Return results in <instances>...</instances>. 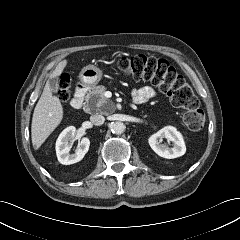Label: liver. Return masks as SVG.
<instances>
[{"instance_id":"obj_1","label":"liver","mask_w":240,"mask_h":240,"mask_svg":"<svg viewBox=\"0 0 240 240\" xmlns=\"http://www.w3.org/2000/svg\"><path fill=\"white\" fill-rule=\"evenodd\" d=\"M67 65V60L64 59L58 63L49 78L60 76ZM63 119V107L59 98L52 95L49 82L45 84L43 93L34 109L31 138L35 150H38L49 135L61 123Z\"/></svg>"}]
</instances>
